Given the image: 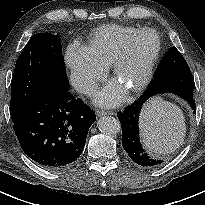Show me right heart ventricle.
I'll return each mask as SVG.
<instances>
[{
	"label": "right heart ventricle",
	"instance_id": "obj_1",
	"mask_svg": "<svg viewBox=\"0 0 205 205\" xmlns=\"http://www.w3.org/2000/svg\"><path fill=\"white\" fill-rule=\"evenodd\" d=\"M139 29L108 25L94 33L89 51L93 58L104 66L111 65L123 49L127 39Z\"/></svg>",
	"mask_w": 205,
	"mask_h": 205
}]
</instances>
